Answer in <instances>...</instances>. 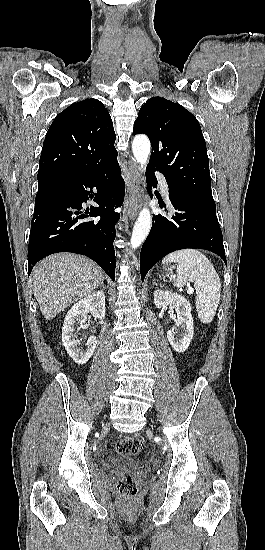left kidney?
<instances>
[{
	"label": "left kidney",
	"instance_id": "obj_1",
	"mask_svg": "<svg viewBox=\"0 0 265 550\" xmlns=\"http://www.w3.org/2000/svg\"><path fill=\"white\" fill-rule=\"evenodd\" d=\"M156 308L167 305L175 308L177 313L176 326L167 332V338L176 352H185L194 336L193 318L189 301L182 295L171 291L156 290L154 292Z\"/></svg>",
	"mask_w": 265,
	"mask_h": 550
}]
</instances>
